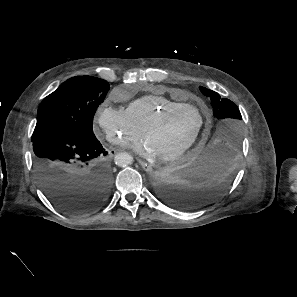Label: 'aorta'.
<instances>
[{
  "mask_svg": "<svg viewBox=\"0 0 297 297\" xmlns=\"http://www.w3.org/2000/svg\"><path fill=\"white\" fill-rule=\"evenodd\" d=\"M114 161L116 165L120 167H125L129 164H132L133 157L127 152H121L115 155Z\"/></svg>",
  "mask_w": 297,
  "mask_h": 297,
  "instance_id": "aorta-1",
  "label": "aorta"
}]
</instances>
